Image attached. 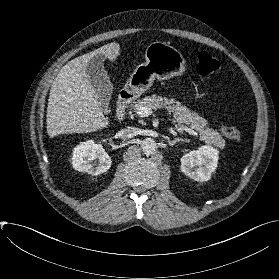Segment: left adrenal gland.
Instances as JSON below:
<instances>
[{"instance_id":"a2214340","label":"left adrenal gland","mask_w":279,"mask_h":279,"mask_svg":"<svg viewBox=\"0 0 279 279\" xmlns=\"http://www.w3.org/2000/svg\"><path fill=\"white\" fill-rule=\"evenodd\" d=\"M177 142H188V140H187V139H183V138H175L174 140H169V141H168V144H169L170 146H173V145H175Z\"/></svg>"}]
</instances>
